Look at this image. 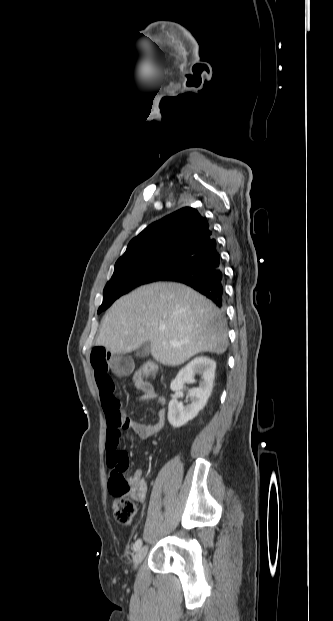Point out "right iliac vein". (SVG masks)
Listing matches in <instances>:
<instances>
[{
    "label": "right iliac vein",
    "mask_w": 333,
    "mask_h": 621,
    "mask_svg": "<svg viewBox=\"0 0 333 621\" xmlns=\"http://www.w3.org/2000/svg\"><path fill=\"white\" fill-rule=\"evenodd\" d=\"M147 553V547L143 546L141 547L135 554L134 556V564H133V568L137 569V567L139 566V564L143 561L145 555Z\"/></svg>",
    "instance_id": "1"
}]
</instances>
